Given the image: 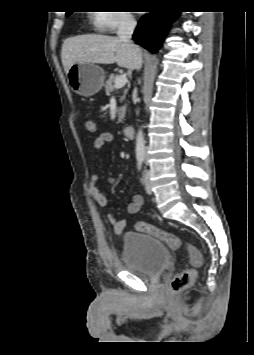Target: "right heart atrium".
Wrapping results in <instances>:
<instances>
[{
    "instance_id": "right-heart-atrium-1",
    "label": "right heart atrium",
    "mask_w": 254,
    "mask_h": 355,
    "mask_svg": "<svg viewBox=\"0 0 254 355\" xmlns=\"http://www.w3.org/2000/svg\"><path fill=\"white\" fill-rule=\"evenodd\" d=\"M92 23L100 32L114 33L118 29L130 28L134 26L135 19L129 11L102 10L94 14Z\"/></svg>"
}]
</instances>
